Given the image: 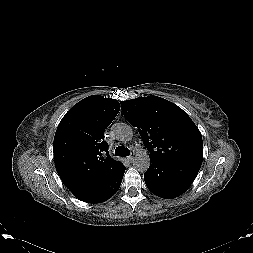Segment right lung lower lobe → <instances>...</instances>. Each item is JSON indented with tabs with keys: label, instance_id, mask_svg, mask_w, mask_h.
<instances>
[{
	"label": "right lung lower lobe",
	"instance_id": "obj_1",
	"mask_svg": "<svg viewBox=\"0 0 253 253\" xmlns=\"http://www.w3.org/2000/svg\"><path fill=\"white\" fill-rule=\"evenodd\" d=\"M124 171L125 167L107 184L80 200L87 203H101L108 200L118 191L123 179Z\"/></svg>",
	"mask_w": 253,
	"mask_h": 253
}]
</instances>
